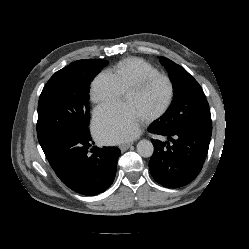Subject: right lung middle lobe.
Returning a JSON list of instances; mask_svg holds the SVG:
<instances>
[{"instance_id":"obj_1","label":"right lung middle lobe","mask_w":249,"mask_h":249,"mask_svg":"<svg viewBox=\"0 0 249 249\" xmlns=\"http://www.w3.org/2000/svg\"><path fill=\"white\" fill-rule=\"evenodd\" d=\"M107 60H78L56 72L39 97L37 137L41 147L64 136L90 134L89 91Z\"/></svg>"}]
</instances>
